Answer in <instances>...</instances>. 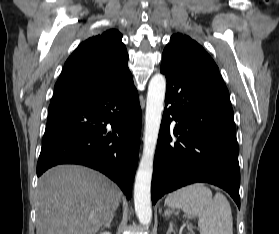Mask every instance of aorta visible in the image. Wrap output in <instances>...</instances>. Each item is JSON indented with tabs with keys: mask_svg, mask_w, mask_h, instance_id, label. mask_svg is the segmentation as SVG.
Masks as SVG:
<instances>
[{
	"mask_svg": "<svg viewBox=\"0 0 279 234\" xmlns=\"http://www.w3.org/2000/svg\"><path fill=\"white\" fill-rule=\"evenodd\" d=\"M166 91L165 77L155 74L148 86L143 154L136 173L134 185V205L139 222L148 225L152 219L151 180L154 154L162 119L163 104Z\"/></svg>",
	"mask_w": 279,
	"mask_h": 234,
	"instance_id": "762f6f07",
	"label": "aorta"
}]
</instances>
